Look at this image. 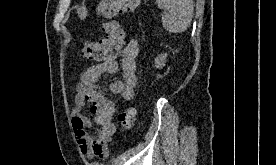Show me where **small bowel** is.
Wrapping results in <instances>:
<instances>
[{
    "instance_id": "small-bowel-1",
    "label": "small bowel",
    "mask_w": 276,
    "mask_h": 165,
    "mask_svg": "<svg viewBox=\"0 0 276 165\" xmlns=\"http://www.w3.org/2000/svg\"><path fill=\"white\" fill-rule=\"evenodd\" d=\"M138 54V42L130 39L122 50L119 62L115 59L104 61L88 67L80 75L76 85L72 127L80 151L88 159L105 157L108 142L116 132V126L112 121L115 108L101 85V79L104 75H113L120 71L122 79L113 81L109 89L126 101L132 100L137 85ZM87 104L91 105L90 112L97 126L93 135L88 132L91 127L90 120L81 113Z\"/></svg>"
}]
</instances>
